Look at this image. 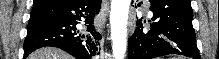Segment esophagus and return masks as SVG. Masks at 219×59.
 Instances as JSON below:
<instances>
[{
    "mask_svg": "<svg viewBox=\"0 0 219 59\" xmlns=\"http://www.w3.org/2000/svg\"><path fill=\"white\" fill-rule=\"evenodd\" d=\"M106 8H107V4H104V9L106 10Z\"/></svg>",
    "mask_w": 219,
    "mask_h": 59,
    "instance_id": "34e87169",
    "label": "esophagus"
}]
</instances>
